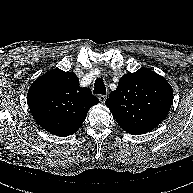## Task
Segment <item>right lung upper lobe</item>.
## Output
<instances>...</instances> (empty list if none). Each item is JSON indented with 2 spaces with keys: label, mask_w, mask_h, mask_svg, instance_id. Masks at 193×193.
<instances>
[{
  "label": "right lung upper lobe",
  "mask_w": 193,
  "mask_h": 193,
  "mask_svg": "<svg viewBox=\"0 0 193 193\" xmlns=\"http://www.w3.org/2000/svg\"><path fill=\"white\" fill-rule=\"evenodd\" d=\"M27 102L43 129L57 136H68L80 128L89 108L99 100L90 88L79 86L74 72L53 69L33 82Z\"/></svg>",
  "instance_id": "1"
}]
</instances>
